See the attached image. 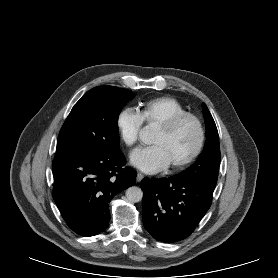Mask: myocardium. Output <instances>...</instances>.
<instances>
[{
    "label": "myocardium",
    "mask_w": 278,
    "mask_h": 278,
    "mask_svg": "<svg viewBox=\"0 0 278 278\" xmlns=\"http://www.w3.org/2000/svg\"><path fill=\"white\" fill-rule=\"evenodd\" d=\"M188 120L192 121L196 126L197 134H198L197 143L193 151L188 156H186L185 158L177 162L170 164V168L172 170L182 169L190 165L191 163H193L199 157L205 145V140H206L205 128L201 119L198 116L189 112L176 115L159 125V128L164 132L171 133L175 129H177L183 122Z\"/></svg>",
    "instance_id": "myocardium-1"
}]
</instances>
